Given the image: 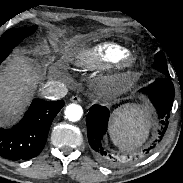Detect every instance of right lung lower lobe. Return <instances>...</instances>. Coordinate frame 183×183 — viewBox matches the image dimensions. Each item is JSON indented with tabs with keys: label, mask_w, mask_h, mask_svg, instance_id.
<instances>
[{
	"label": "right lung lower lobe",
	"mask_w": 183,
	"mask_h": 183,
	"mask_svg": "<svg viewBox=\"0 0 183 183\" xmlns=\"http://www.w3.org/2000/svg\"><path fill=\"white\" fill-rule=\"evenodd\" d=\"M9 53L0 55V63ZM63 106L61 100L47 102L34 99L17 125L9 129L0 127V156L9 160H27L37 156L44 148L53 119Z\"/></svg>",
	"instance_id": "right-lung-lower-lobe-1"
}]
</instances>
